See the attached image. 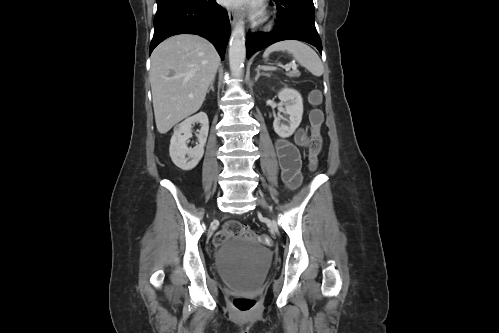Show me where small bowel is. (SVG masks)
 Returning a JSON list of instances; mask_svg holds the SVG:
<instances>
[{"label": "small bowel", "mask_w": 499, "mask_h": 333, "mask_svg": "<svg viewBox=\"0 0 499 333\" xmlns=\"http://www.w3.org/2000/svg\"><path fill=\"white\" fill-rule=\"evenodd\" d=\"M309 144L310 137L303 128L295 132L293 142L285 138H278L275 142L282 178L290 189H296L302 179L299 147H308Z\"/></svg>", "instance_id": "1"}]
</instances>
